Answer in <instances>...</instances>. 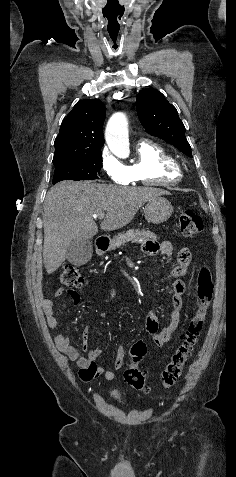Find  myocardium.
<instances>
[{"label": "myocardium", "mask_w": 236, "mask_h": 477, "mask_svg": "<svg viewBox=\"0 0 236 477\" xmlns=\"http://www.w3.org/2000/svg\"><path fill=\"white\" fill-rule=\"evenodd\" d=\"M174 167H175L174 165H167V166H165V169H167V170L168 169H173Z\"/></svg>", "instance_id": "1"}]
</instances>
